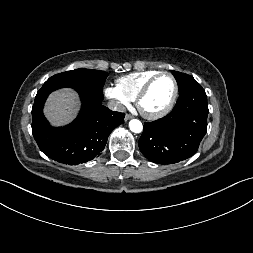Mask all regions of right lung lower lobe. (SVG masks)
Returning a JSON list of instances; mask_svg holds the SVG:
<instances>
[{
	"label": "right lung lower lobe",
	"mask_w": 253,
	"mask_h": 253,
	"mask_svg": "<svg viewBox=\"0 0 253 253\" xmlns=\"http://www.w3.org/2000/svg\"><path fill=\"white\" fill-rule=\"evenodd\" d=\"M56 89L41 88L32 107V133L40 150L48 157L69 165L87 162L100 155L111 131L124 123V113L111 111L102 100L81 94L82 108L69 125L53 128L43 115L48 95Z\"/></svg>",
	"instance_id": "obj_1"
}]
</instances>
